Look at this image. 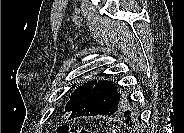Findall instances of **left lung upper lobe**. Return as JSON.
<instances>
[{
  "mask_svg": "<svg viewBox=\"0 0 184 133\" xmlns=\"http://www.w3.org/2000/svg\"><path fill=\"white\" fill-rule=\"evenodd\" d=\"M95 85V80L90 79L88 82H84L82 85L77 87V89L71 94L70 101L65 106L66 112H72L73 109L90 93ZM127 98V97H126ZM125 101V99H124ZM132 113L138 118L139 121V110L134 102H132ZM126 104H124L125 106Z\"/></svg>",
  "mask_w": 184,
  "mask_h": 133,
  "instance_id": "5c2ea615",
  "label": "left lung upper lobe"
}]
</instances>
